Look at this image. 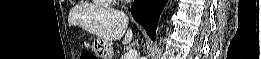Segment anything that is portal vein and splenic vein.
<instances>
[{
	"instance_id": "portal-vein-and-splenic-vein-1",
	"label": "portal vein and splenic vein",
	"mask_w": 261,
	"mask_h": 59,
	"mask_svg": "<svg viewBox=\"0 0 261 59\" xmlns=\"http://www.w3.org/2000/svg\"><path fill=\"white\" fill-rule=\"evenodd\" d=\"M137 56H138L137 51L134 50V49H132V50H130V51L127 53L125 59H136Z\"/></svg>"
}]
</instances>
